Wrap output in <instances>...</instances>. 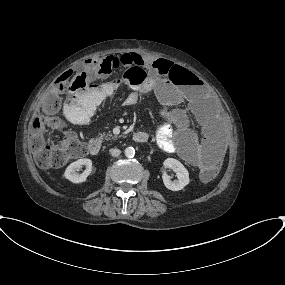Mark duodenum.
Wrapping results in <instances>:
<instances>
[{
	"label": "duodenum",
	"instance_id": "1",
	"mask_svg": "<svg viewBox=\"0 0 285 285\" xmlns=\"http://www.w3.org/2000/svg\"><path fill=\"white\" fill-rule=\"evenodd\" d=\"M76 107L82 109L84 106L82 104H80V103H77ZM147 139H148V135L145 132H143V131L136 132L133 135V140L135 142H138V143L146 142ZM87 147H88V152L92 156L98 155L100 153V151H101V143L97 139H91L89 141Z\"/></svg>",
	"mask_w": 285,
	"mask_h": 285
}]
</instances>
